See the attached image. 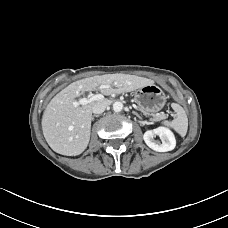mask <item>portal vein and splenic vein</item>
I'll use <instances>...</instances> for the list:
<instances>
[{"label":"portal vein and splenic vein","mask_w":228,"mask_h":228,"mask_svg":"<svg viewBox=\"0 0 228 228\" xmlns=\"http://www.w3.org/2000/svg\"><path fill=\"white\" fill-rule=\"evenodd\" d=\"M103 99H104V96L102 94H91L88 97H83V98L79 99L78 101H75L74 105L75 106L86 105L90 102L101 101Z\"/></svg>","instance_id":"portal-vein-and-splenic-vein-1"}]
</instances>
